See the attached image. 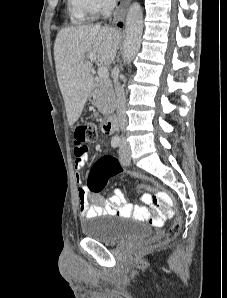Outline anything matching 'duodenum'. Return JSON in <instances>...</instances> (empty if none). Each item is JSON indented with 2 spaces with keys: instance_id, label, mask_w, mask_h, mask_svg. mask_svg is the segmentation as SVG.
Wrapping results in <instances>:
<instances>
[{
  "instance_id": "1",
  "label": "duodenum",
  "mask_w": 227,
  "mask_h": 298,
  "mask_svg": "<svg viewBox=\"0 0 227 298\" xmlns=\"http://www.w3.org/2000/svg\"><path fill=\"white\" fill-rule=\"evenodd\" d=\"M92 97V96H91ZM117 122L114 114H110L103 122L102 130L105 134H111L116 130Z\"/></svg>"
}]
</instances>
